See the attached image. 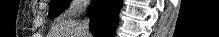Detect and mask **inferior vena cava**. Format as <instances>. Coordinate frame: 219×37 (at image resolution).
<instances>
[{"instance_id": "1", "label": "inferior vena cava", "mask_w": 219, "mask_h": 37, "mask_svg": "<svg viewBox=\"0 0 219 37\" xmlns=\"http://www.w3.org/2000/svg\"><path fill=\"white\" fill-rule=\"evenodd\" d=\"M89 25H90V19L88 17H86L80 23V27L78 29L79 36H81V37L89 36Z\"/></svg>"}]
</instances>
